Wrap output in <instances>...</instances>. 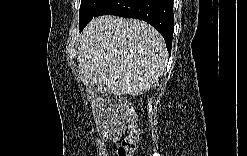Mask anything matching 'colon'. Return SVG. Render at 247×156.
Instances as JSON below:
<instances>
[{
    "instance_id": "colon-1",
    "label": "colon",
    "mask_w": 247,
    "mask_h": 156,
    "mask_svg": "<svg viewBox=\"0 0 247 156\" xmlns=\"http://www.w3.org/2000/svg\"><path fill=\"white\" fill-rule=\"evenodd\" d=\"M118 105L116 119L126 127V135L117 148L116 156H129L134 153L139 137L136 115L127 98L119 97Z\"/></svg>"
}]
</instances>
